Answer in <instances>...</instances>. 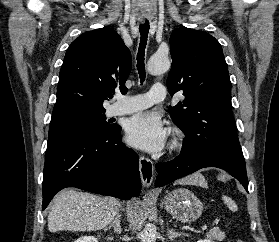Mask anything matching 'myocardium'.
Returning a JSON list of instances; mask_svg holds the SVG:
<instances>
[{
  "mask_svg": "<svg viewBox=\"0 0 279 242\" xmlns=\"http://www.w3.org/2000/svg\"><path fill=\"white\" fill-rule=\"evenodd\" d=\"M184 145V134L179 129L173 130L171 148L175 151L180 150Z\"/></svg>",
  "mask_w": 279,
  "mask_h": 242,
  "instance_id": "1",
  "label": "myocardium"
}]
</instances>
